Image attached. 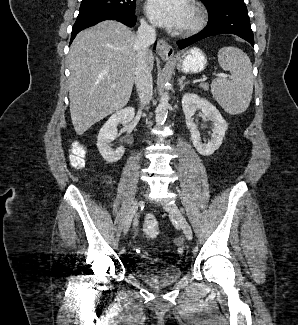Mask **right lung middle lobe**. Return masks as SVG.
<instances>
[{
	"label": "right lung middle lobe",
	"instance_id": "obj_1",
	"mask_svg": "<svg viewBox=\"0 0 298 325\" xmlns=\"http://www.w3.org/2000/svg\"><path fill=\"white\" fill-rule=\"evenodd\" d=\"M135 0H82L78 16L91 15L100 11L135 12Z\"/></svg>",
	"mask_w": 298,
	"mask_h": 325
}]
</instances>
